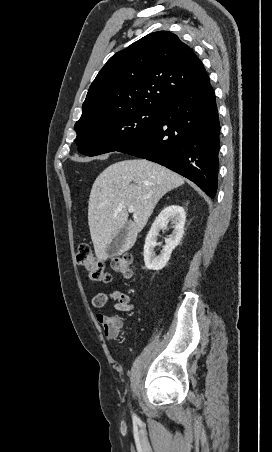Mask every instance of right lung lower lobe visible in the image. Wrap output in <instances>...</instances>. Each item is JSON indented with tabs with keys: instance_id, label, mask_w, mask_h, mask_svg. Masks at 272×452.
Wrapping results in <instances>:
<instances>
[{
	"instance_id": "98d812e1",
	"label": "right lung lower lobe",
	"mask_w": 272,
	"mask_h": 452,
	"mask_svg": "<svg viewBox=\"0 0 272 452\" xmlns=\"http://www.w3.org/2000/svg\"><path fill=\"white\" fill-rule=\"evenodd\" d=\"M220 123L210 81L162 108L157 122L119 152L159 163L214 198Z\"/></svg>"
}]
</instances>
